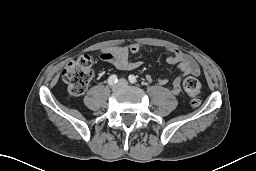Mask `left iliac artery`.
<instances>
[{
    "label": "left iliac artery",
    "mask_w": 256,
    "mask_h": 171,
    "mask_svg": "<svg viewBox=\"0 0 256 171\" xmlns=\"http://www.w3.org/2000/svg\"><path fill=\"white\" fill-rule=\"evenodd\" d=\"M128 79L132 84H135L137 82V79L134 75H129Z\"/></svg>",
    "instance_id": "44dca946"
}]
</instances>
